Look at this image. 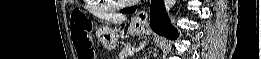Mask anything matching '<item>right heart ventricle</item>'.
<instances>
[{
  "mask_svg": "<svg viewBox=\"0 0 261 59\" xmlns=\"http://www.w3.org/2000/svg\"><path fill=\"white\" fill-rule=\"evenodd\" d=\"M93 1V0H92ZM100 2V1H99ZM105 10L111 9L110 7L104 8Z\"/></svg>",
  "mask_w": 261,
  "mask_h": 59,
  "instance_id": "1",
  "label": "right heart ventricle"
}]
</instances>
